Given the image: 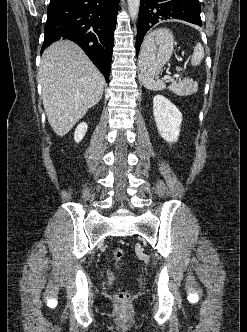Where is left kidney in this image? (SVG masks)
Listing matches in <instances>:
<instances>
[{
	"mask_svg": "<svg viewBox=\"0 0 247 332\" xmlns=\"http://www.w3.org/2000/svg\"><path fill=\"white\" fill-rule=\"evenodd\" d=\"M153 115L160 136L169 143L176 142L180 134L182 114L162 95L153 99Z\"/></svg>",
	"mask_w": 247,
	"mask_h": 332,
	"instance_id": "obj_1",
	"label": "left kidney"
}]
</instances>
